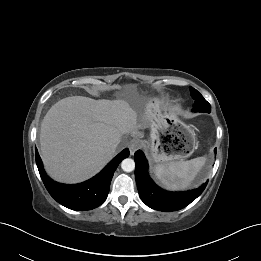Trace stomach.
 Wrapping results in <instances>:
<instances>
[{
  "mask_svg": "<svg viewBox=\"0 0 261 261\" xmlns=\"http://www.w3.org/2000/svg\"><path fill=\"white\" fill-rule=\"evenodd\" d=\"M197 140L194 131L172 111L160 109L151 124L146 149L154 163L165 164L189 157Z\"/></svg>",
  "mask_w": 261,
  "mask_h": 261,
  "instance_id": "stomach-1",
  "label": "stomach"
}]
</instances>
